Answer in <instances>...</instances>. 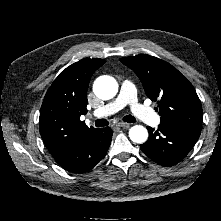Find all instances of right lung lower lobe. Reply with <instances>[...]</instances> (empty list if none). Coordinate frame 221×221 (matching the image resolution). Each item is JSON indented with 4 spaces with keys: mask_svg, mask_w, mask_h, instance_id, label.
<instances>
[{
    "mask_svg": "<svg viewBox=\"0 0 221 221\" xmlns=\"http://www.w3.org/2000/svg\"><path fill=\"white\" fill-rule=\"evenodd\" d=\"M112 135L113 131L109 127L97 129L77 146L55 160L70 172H87L104 158Z\"/></svg>",
    "mask_w": 221,
    "mask_h": 221,
    "instance_id": "1",
    "label": "right lung lower lobe"
}]
</instances>
